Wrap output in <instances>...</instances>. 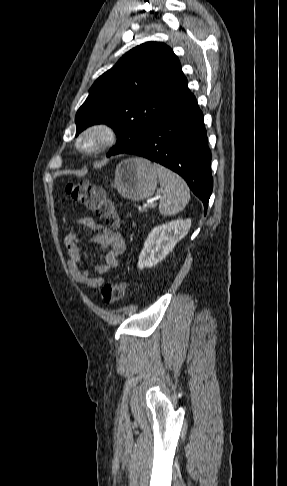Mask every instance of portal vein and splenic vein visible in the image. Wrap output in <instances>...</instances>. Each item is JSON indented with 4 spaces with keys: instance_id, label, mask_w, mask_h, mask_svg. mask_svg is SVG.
<instances>
[{
    "instance_id": "1",
    "label": "portal vein and splenic vein",
    "mask_w": 287,
    "mask_h": 486,
    "mask_svg": "<svg viewBox=\"0 0 287 486\" xmlns=\"http://www.w3.org/2000/svg\"><path fill=\"white\" fill-rule=\"evenodd\" d=\"M154 206V201L153 200H149L147 201L144 205H143V208H146V207H152Z\"/></svg>"
}]
</instances>
